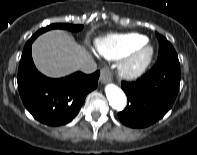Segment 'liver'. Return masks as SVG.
Returning <instances> with one entry per match:
<instances>
[{
  "label": "liver",
  "mask_w": 197,
  "mask_h": 155,
  "mask_svg": "<svg viewBox=\"0 0 197 155\" xmlns=\"http://www.w3.org/2000/svg\"><path fill=\"white\" fill-rule=\"evenodd\" d=\"M32 56L38 70L49 77H63L92 60L84 47L62 30L40 35L32 45Z\"/></svg>",
  "instance_id": "liver-1"
}]
</instances>
